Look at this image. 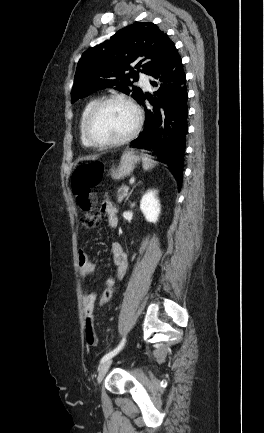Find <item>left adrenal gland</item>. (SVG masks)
Wrapping results in <instances>:
<instances>
[{
    "mask_svg": "<svg viewBox=\"0 0 264 433\" xmlns=\"http://www.w3.org/2000/svg\"><path fill=\"white\" fill-rule=\"evenodd\" d=\"M138 184H141V181L138 182ZM136 186H137V185H136ZM136 186H134V187L132 188V190H131L130 193L128 194V196H127L125 202L128 200V198L130 197V195L132 194V192H133V190H134V188H135Z\"/></svg>",
    "mask_w": 264,
    "mask_h": 433,
    "instance_id": "obj_1",
    "label": "left adrenal gland"
}]
</instances>
